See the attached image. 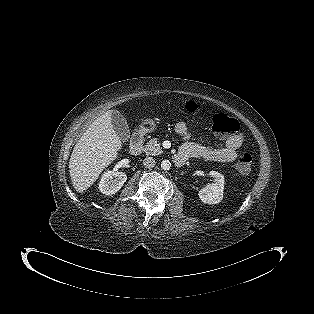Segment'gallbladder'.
I'll return each instance as SVG.
<instances>
[{"instance_id": "gallbladder-1", "label": "gallbladder", "mask_w": 314, "mask_h": 314, "mask_svg": "<svg viewBox=\"0 0 314 314\" xmlns=\"http://www.w3.org/2000/svg\"><path fill=\"white\" fill-rule=\"evenodd\" d=\"M112 126L120 140L127 142L130 139V129L125 117L119 111L112 112Z\"/></svg>"}]
</instances>
